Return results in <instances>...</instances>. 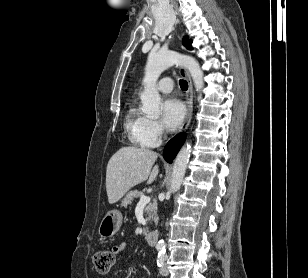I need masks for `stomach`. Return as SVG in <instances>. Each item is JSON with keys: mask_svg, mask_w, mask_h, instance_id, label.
<instances>
[{"mask_svg": "<svg viewBox=\"0 0 308 278\" xmlns=\"http://www.w3.org/2000/svg\"><path fill=\"white\" fill-rule=\"evenodd\" d=\"M122 225V214L118 210L109 211L102 219L98 233L102 238L114 236Z\"/></svg>", "mask_w": 308, "mask_h": 278, "instance_id": "stomach-1", "label": "stomach"}]
</instances>
